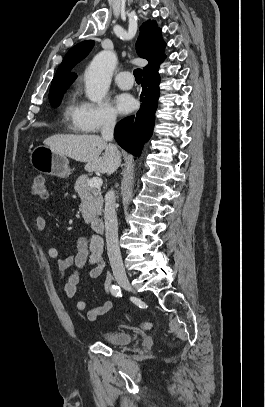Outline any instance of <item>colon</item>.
I'll return each instance as SVG.
<instances>
[{"mask_svg":"<svg viewBox=\"0 0 265 407\" xmlns=\"http://www.w3.org/2000/svg\"><path fill=\"white\" fill-rule=\"evenodd\" d=\"M31 192L34 196L46 197L47 195V184L46 179L43 176H36L33 180L31 187ZM141 326L145 329H149L151 323L148 321L141 322Z\"/></svg>","mask_w":265,"mask_h":407,"instance_id":"colon-1","label":"colon"}]
</instances>
